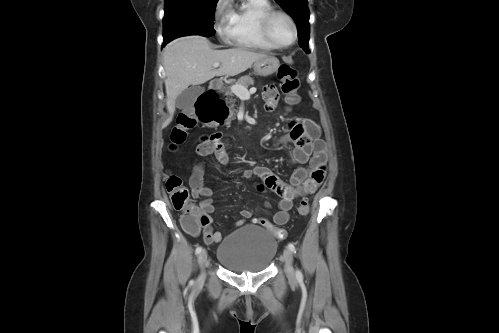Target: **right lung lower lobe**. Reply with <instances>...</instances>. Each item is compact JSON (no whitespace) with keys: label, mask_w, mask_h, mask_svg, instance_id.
<instances>
[{"label":"right lung lower lobe","mask_w":499,"mask_h":333,"mask_svg":"<svg viewBox=\"0 0 499 333\" xmlns=\"http://www.w3.org/2000/svg\"><path fill=\"white\" fill-rule=\"evenodd\" d=\"M166 43H167L166 41L163 42V47L165 46Z\"/></svg>","instance_id":"obj_1"}]
</instances>
